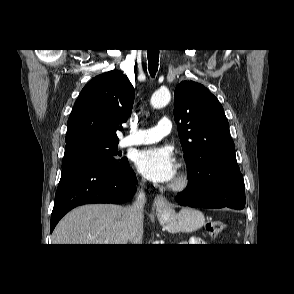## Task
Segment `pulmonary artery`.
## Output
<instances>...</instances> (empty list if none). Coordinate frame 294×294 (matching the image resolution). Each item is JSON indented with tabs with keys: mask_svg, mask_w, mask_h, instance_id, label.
I'll return each mask as SVG.
<instances>
[{
	"mask_svg": "<svg viewBox=\"0 0 294 294\" xmlns=\"http://www.w3.org/2000/svg\"><path fill=\"white\" fill-rule=\"evenodd\" d=\"M172 126L167 117L162 118L158 124L147 130H139L125 137L122 146L149 144L160 141L171 132Z\"/></svg>",
	"mask_w": 294,
	"mask_h": 294,
	"instance_id": "pulmonary-artery-1",
	"label": "pulmonary artery"
}]
</instances>
